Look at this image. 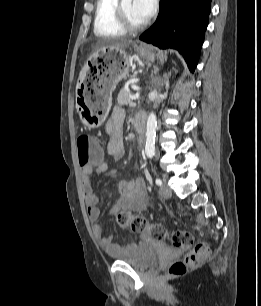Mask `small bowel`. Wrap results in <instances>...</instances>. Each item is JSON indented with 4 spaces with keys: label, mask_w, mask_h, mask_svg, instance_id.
Here are the masks:
<instances>
[{
    "label": "small bowel",
    "mask_w": 261,
    "mask_h": 306,
    "mask_svg": "<svg viewBox=\"0 0 261 306\" xmlns=\"http://www.w3.org/2000/svg\"><path fill=\"white\" fill-rule=\"evenodd\" d=\"M125 116V109L117 106L113 108L106 124V132L109 136L106 153L116 161L121 160L125 154L122 137ZM107 169L108 164L102 159L97 163L83 167L81 171V185L89 219L94 223L93 232L96 238L106 252L119 254L130 249L132 246L116 244L112 236L105 235L103 227L97 223L100 218V209L98 207V196L92 186V176L101 174ZM115 187L120 193L121 198L112 209V212L118 210L142 211L147 208L145 199L146 186L142 178L135 177L128 181H119L115 183Z\"/></svg>",
    "instance_id": "small-bowel-1"
}]
</instances>
